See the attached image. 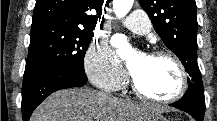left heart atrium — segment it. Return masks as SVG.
Here are the masks:
<instances>
[{
	"label": "left heart atrium",
	"instance_id": "left-heart-atrium-1",
	"mask_svg": "<svg viewBox=\"0 0 217 121\" xmlns=\"http://www.w3.org/2000/svg\"><path fill=\"white\" fill-rule=\"evenodd\" d=\"M114 42H115L116 46L121 49L122 55L124 57L128 58V67H129L130 73L132 75H134L136 73L141 61L147 56H144V55L130 56L129 51L126 49L125 41L122 37H116Z\"/></svg>",
	"mask_w": 217,
	"mask_h": 121
}]
</instances>
